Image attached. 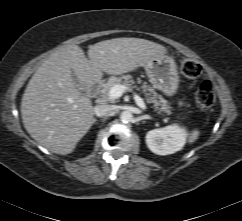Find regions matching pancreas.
I'll list each match as a JSON object with an SVG mask.
<instances>
[{
    "label": "pancreas",
    "mask_w": 242,
    "mask_h": 221,
    "mask_svg": "<svg viewBox=\"0 0 242 221\" xmlns=\"http://www.w3.org/2000/svg\"><path fill=\"white\" fill-rule=\"evenodd\" d=\"M138 83H141V81L138 80ZM134 84L135 81L129 75L122 77H111L106 83L101 85L99 94L102 101L114 103L115 99H112L109 96V91L113 86L124 85L128 88H131ZM134 87L138 90L137 86ZM142 91L145 95L146 102L152 104L155 111H158L159 114L162 112L166 113L167 115L172 114V107L170 106L169 102L159 95L152 87L148 86L146 83H143Z\"/></svg>",
    "instance_id": "1"
}]
</instances>
